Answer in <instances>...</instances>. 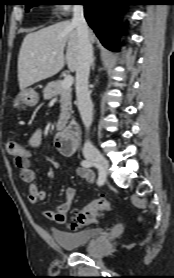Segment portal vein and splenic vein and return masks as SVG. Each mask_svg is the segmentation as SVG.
Listing matches in <instances>:
<instances>
[{
	"label": "portal vein and splenic vein",
	"mask_w": 174,
	"mask_h": 278,
	"mask_svg": "<svg viewBox=\"0 0 174 278\" xmlns=\"http://www.w3.org/2000/svg\"><path fill=\"white\" fill-rule=\"evenodd\" d=\"M54 55V53H53ZM73 84V77L71 75H67L64 80L61 82L62 88H70Z\"/></svg>",
	"instance_id": "obj_1"
}]
</instances>
